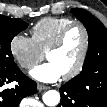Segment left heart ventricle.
<instances>
[{"mask_svg": "<svg viewBox=\"0 0 107 107\" xmlns=\"http://www.w3.org/2000/svg\"><path fill=\"white\" fill-rule=\"evenodd\" d=\"M83 41L82 31L79 28H74L69 32L63 46L48 53L47 59L56 63L63 74H66L75 67L82 51Z\"/></svg>", "mask_w": 107, "mask_h": 107, "instance_id": "1", "label": "left heart ventricle"}]
</instances>
